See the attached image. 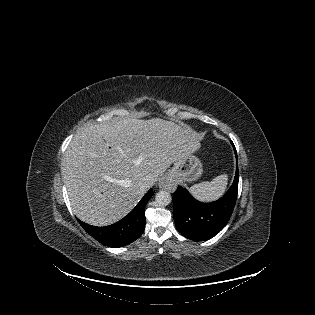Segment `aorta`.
<instances>
[{
	"label": "aorta",
	"instance_id": "aorta-1",
	"mask_svg": "<svg viewBox=\"0 0 315 315\" xmlns=\"http://www.w3.org/2000/svg\"><path fill=\"white\" fill-rule=\"evenodd\" d=\"M155 200L159 206H167L171 203L172 198L169 192L162 190L156 194Z\"/></svg>",
	"mask_w": 315,
	"mask_h": 315
}]
</instances>
